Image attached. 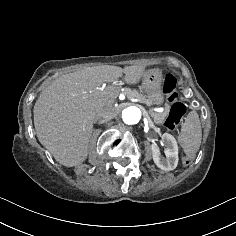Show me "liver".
<instances>
[{"mask_svg":"<svg viewBox=\"0 0 236 236\" xmlns=\"http://www.w3.org/2000/svg\"><path fill=\"white\" fill-rule=\"evenodd\" d=\"M144 66L102 65L65 74L40 94L34 105V126L39 142L66 167L86 160L88 144L97 121L117 115L113 97L117 88L97 89L104 82L124 76L127 84H136L144 75Z\"/></svg>","mask_w":236,"mask_h":236,"instance_id":"1","label":"liver"}]
</instances>
